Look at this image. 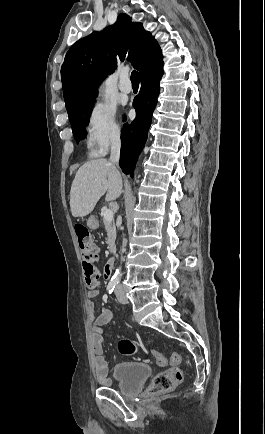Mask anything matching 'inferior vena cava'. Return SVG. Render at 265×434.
<instances>
[{
  "label": "inferior vena cava",
  "instance_id": "1",
  "mask_svg": "<svg viewBox=\"0 0 265 434\" xmlns=\"http://www.w3.org/2000/svg\"><path fill=\"white\" fill-rule=\"evenodd\" d=\"M120 148H121L120 140H112L111 156H110V162H112V164H118L120 158ZM121 260H123V258H121Z\"/></svg>",
  "mask_w": 265,
  "mask_h": 434
}]
</instances>
